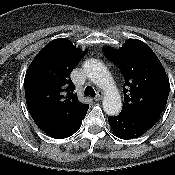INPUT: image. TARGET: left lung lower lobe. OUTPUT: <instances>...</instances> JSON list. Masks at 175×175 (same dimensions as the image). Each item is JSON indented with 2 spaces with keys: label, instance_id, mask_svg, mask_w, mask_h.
I'll list each match as a JSON object with an SVG mask.
<instances>
[{
  "label": "left lung lower lobe",
  "instance_id": "left-lung-lower-lobe-1",
  "mask_svg": "<svg viewBox=\"0 0 175 175\" xmlns=\"http://www.w3.org/2000/svg\"><path fill=\"white\" fill-rule=\"evenodd\" d=\"M162 111L145 110L138 112H121L109 117L110 126L115 135L121 139H132L143 135L157 122Z\"/></svg>",
  "mask_w": 175,
  "mask_h": 175
}]
</instances>
